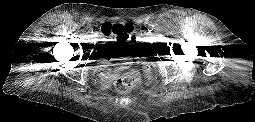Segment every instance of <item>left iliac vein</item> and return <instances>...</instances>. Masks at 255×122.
<instances>
[{"instance_id":"left-iliac-vein-1","label":"left iliac vein","mask_w":255,"mask_h":122,"mask_svg":"<svg viewBox=\"0 0 255 122\" xmlns=\"http://www.w3.org/2000/svg\"><path fill=\"white\" fill-rule=\"evenodd\" d=\"M146 35H147V36H151V35H152V31H148V32L146 33Z\"/></svg>"}]
</instances>
